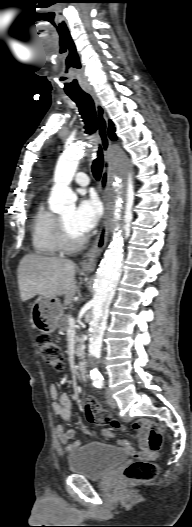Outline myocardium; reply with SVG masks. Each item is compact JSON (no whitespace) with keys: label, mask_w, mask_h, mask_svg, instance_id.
Wrapping results in <instances>:
<instances>
[{"label":"myocardium","mask_w":192,"mask_h":527,"mask_svg":"<svg viewBox=\"0 0 192 527\" xmlns=\"http://www.w3.org/2000/svg\"><path fill=\"white\" fill-rule=\"evenodd\" d=\"M57 236L62 250L69 252L80 249L86 242V238L84 236L77 240H72L69 237L65 225L59 216H57Z\"/></svg>","instance_id":"obj_1"}]
</instances>
